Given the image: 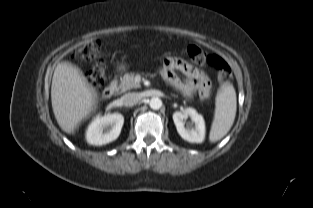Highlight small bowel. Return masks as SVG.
Returning <instances> with one entry per match:
<instances>
[{"label": "small bowel", "instance_id": "small-bowel-1", "mask_svg": "<svg viewBox=\"0 0 313 208\" xmlns=\"http://www.w3.org/2000/svg\"><path fill=\"white\" fill-rule=\"evenodd\" d=\"M175 71L184 74L186 80H180ZM163 74L166 80L185 96L189 97L197 92L201 98L206 99L211 94L208 76L182 59L167 58L163 65Z\"/></svg>", "mask_w": 313, "mask_h": 208}]
</instances>
